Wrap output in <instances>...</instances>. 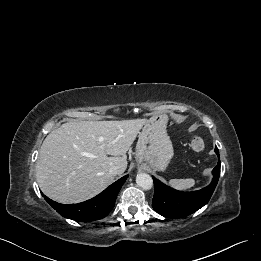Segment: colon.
Wrapping results in <instances>:
<instances>
[{
  "mask_svg": "<svg viewBox=\"0 0 261 261\" xmlns=\"http://www.w3.org/2000/svg\"><path fill=\"white\" fill-rule=\"evenodd\" d=\"M191 149L195 153L202 152L205 147L204 139L200 136H194L191 140Z\"/></svg>",
  "mask_w": 261,
  "mask_h": 261,
  "instance_id": "5ec220e1",
  "label": "colon"
}]
</instances>
